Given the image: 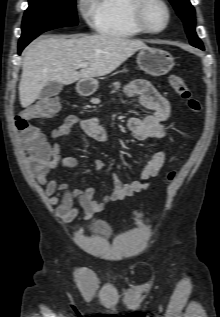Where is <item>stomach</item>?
<instances>
[{"instance_id": "0dacf381", "label": "stomach", "mask_w": 220, "mask_h": 317, "mask_svg": "<svg viewBox=\"0 0 220 317\" xmlns=\"http://www.w3.org/2000/svg\"><path fill=\"white\" fill-rule=\"evenodd\" d=\"M137 64L141 70L152 76L167 74L174 66L172 55L162 49L144 48L137 55ZM79 85L84 87L87 94L94 93L98 88V81L95 79L81 80Z\"/></svg>"}]
</instances>
